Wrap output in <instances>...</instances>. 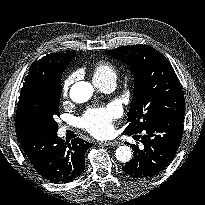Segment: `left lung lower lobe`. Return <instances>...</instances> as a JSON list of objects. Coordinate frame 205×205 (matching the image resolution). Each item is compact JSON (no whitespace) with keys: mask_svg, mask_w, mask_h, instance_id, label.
Wrapping results in <instances>:
<instances>
[{"mask_svg":"<svg viewBox=\"0 0 205 205\" xmlns=\"http://www.w3.org/2000/svg\"><path fill=\"white\" fill-rule=\"evenodd\" d=\"M183 122L184 112H178L146 126L141 131L144 134L141 136L144 149L131 145L133 158L122 168L123 171L140 179L152 178L163 171L178 150L183 135ZM134 136L140 138L139 135Z\"/></svg>","mask_w":205,"mask_h":205,"instance_id":"1","label":"left lung lower lobe"}]
</instances>
